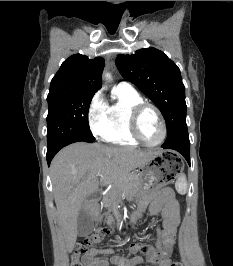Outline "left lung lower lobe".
Wrapping results in <instances>:
<instances>
[{
	"instance_id": "obj_1",
	"label": "left lung lower lobe",
	"mask_w": 233,
	"mask_h": 266,
	"mask_svg": "<svg viewBox=\"0 0 233 266\" xmlns=\"http://www.w3.org/2000/svg\"><path fill=\"white\" fill-rule=\"evenodd\" d=\"M162 147L178 151L190 165V142L186 123L180 125L174 132L169 134Z\"/></svg>"
}]
</instances>
